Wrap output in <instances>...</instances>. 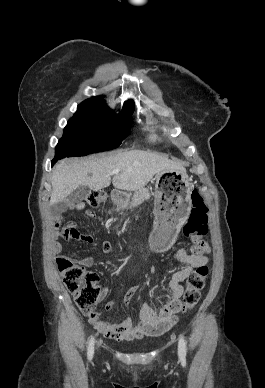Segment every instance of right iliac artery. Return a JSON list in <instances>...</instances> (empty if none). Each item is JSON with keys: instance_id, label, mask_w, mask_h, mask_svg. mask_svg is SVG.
Returning a JSON list of instances; mask_svg holds the SVG:
<instances>
[{"instance_id": "obj_1", "label": "right iliac artery", "mask_w": 265, "mask_h": 388, "mask_svg": "<svg viewBox=\"0 0 265 388\" xmlns=\"http://www.w3.org/2000/svg\"><path fill=\"white\" fill-rule=\"evenodd\" d=\"M94 343H95V339L94 337L92 336L90 338V341H89V345H88V352H87V355H88V359L91 360L93 358V354H94Z\"/></svg>"}]
</instances>
